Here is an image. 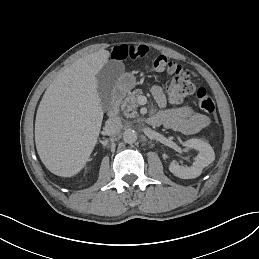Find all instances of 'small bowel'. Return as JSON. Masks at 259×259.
<instances>
[{
    "label": "small bowel",
    "mask_w": 259,
    "mask_h": 259,
    "mask_svg": "<svg viewBox=\"0 0 259 259\" xmlns=\"http://www.w3.org/2000/svg\"><path fill=\"white\" fill-rule=\"evenodd\" d=\"M147 53L148 47L145 45L120 44L111 49L110 56L115 61L136 60L144 57ZM152 95L161 108L151 118L153 125L164 126L188 135L195 134L209 125V117L195 112L190 106H168V99L160 86L152 87Z\"/></svg>",
    "instance_id": "c3829d8e"
}]
</instances>
